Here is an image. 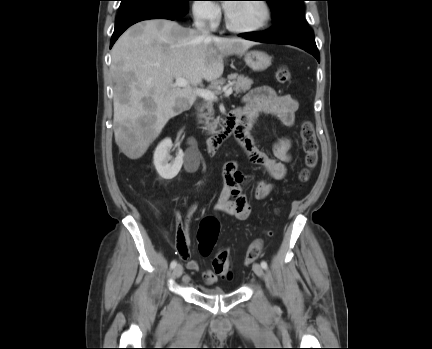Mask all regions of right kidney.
<instances>
[{"instance_id":"1","label":"right kidney","mask_w":432,"mask_h":349,"mask_svg":"<svg viewBox=\"0 0 432 349\" xmlns=\"http://www.w3.org/2000/svg\"><path fill=\"white\" fill-rule=\"evenodd\" d=\"M171 148V139H164L155 149L153 156L155 169L159 176L165 180H170L177 176L183 165V151L179 149L176 157L172 159V156H170Z\"/></svg>"}]
</instances>
